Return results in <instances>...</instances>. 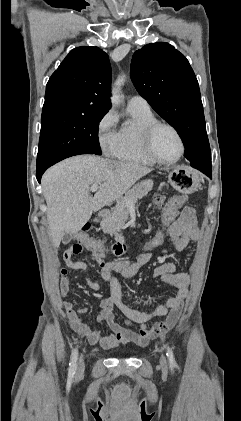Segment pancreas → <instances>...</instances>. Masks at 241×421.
I'll return each instance as SVG.
<instances>
[{
	"mask_svg": "<svg viewBox=\"0 0 241 421\" xmlns=\"http://www.w3.org/2000/svg\"><path fill=\"white\" fill-rule=\"evenodd\" d=\"M153 189L152 180H144L140 183L133 186L124 197H121L116 200V206L112 209L110 216L105 218L101 222V228L105 233L114 235L116 239L122 237L120 230L123 228L124 224L129 220V214L131 207L125 203L126 200H131L132 206L138 199L146 196Z\"/></svg>",
	"mask_w": 241,
	"mask_h": 421,
	"instance_id": "cf45deb5",
	"label": "pancreas"
}]
</instances>
